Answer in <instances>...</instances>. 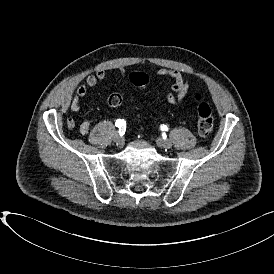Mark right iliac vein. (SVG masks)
Here are the masks:
<instances>
[{"label": "right iliac vein", "instance_id": "63e3f726", "mask_svg": "<svg viewBox=\"0 0 274 274\" xmlns=\"http://www.w3.org/2000/svg\"><path fill=\"white\" fill-rule=\"evenodd\" d=\"M113 140H114V142H115L117 145H119V146L123 145V143H124L123 137L120 136V135H118V134H115V135H114Z\"/></svg>", "mask_w": 274, "mask_h": 274}]
</instances>
